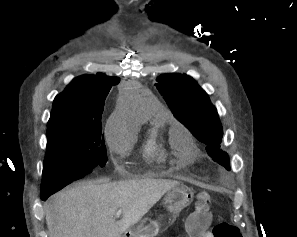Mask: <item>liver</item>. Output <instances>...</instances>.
<instances>
[{
	"label": "liver",
	"instance_id": "obj_1",
	"mask_svg": "<svg viewBox=\"0 0 297 237\" xmlns=\"http://www.w3.org/2000/svg\"><path fill=\"white\" fill-rule=\"evenodd\" d=\"M180 183L145 178L120 182H81L59 192L46 207L50 237H121ZM122 210V218L115 213Z\"/></svg>",
	"mask_w": 297,
	"mask_h": 237
}]
</instances>
